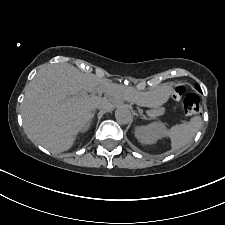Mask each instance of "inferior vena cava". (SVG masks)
Here are the masks:
<instances>
[{
    "label": "inferior vena cava",
    "mask_w": 225,
    "mask_h": 225,
    "mask_svg": "<svg viewBox=\"0 0 225 225\" xmlns=\"http://www.w3.org/2000/svg\"><path fill=\"white\" fill-rule=\"evenodd\" d=\"M96 108H103V106H102V105H96V106L94 107V109H96Z\"/></svg>",
    "instance_id": "inferior-vena-cava-1"
}]
</instances>
